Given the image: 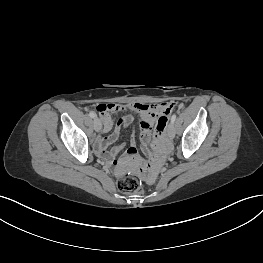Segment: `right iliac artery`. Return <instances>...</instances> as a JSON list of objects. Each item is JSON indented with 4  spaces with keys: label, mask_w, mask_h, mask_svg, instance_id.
<instances>
[{
    "label": "right iliac artery",
    "mask_w": 263,
    "mask_h": 263,
    "mask_svg": "<svg viewBox=\"0 0 263 263\" xmlns=\"http://www.w3.org/2000/svg\"><path fill=\"white\" fill-rule=\"evenodd\" d=\"M89 116H90L91 118H95V117H96V114H95L93 111H91V112L89 113Z\"/></svg>",
    "instance_id": "82829eb1"
}]
</instances>
